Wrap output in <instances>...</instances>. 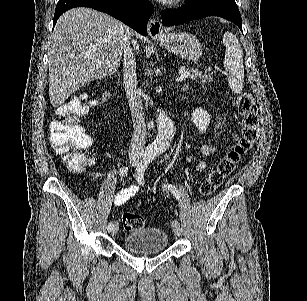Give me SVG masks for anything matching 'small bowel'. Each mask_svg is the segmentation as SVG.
I'll return each mask as SVG.
<instances>
[{
  "instance_id": "obj_1",
  "label": "small bowel",
  "mask_w": 307,
  "mask_h": 301,
  "mask_svg": "<svg viewBox=\"0 0 307 301\" xmlns=\"http://www.w3.org/2000/svg\"><path fill=\"white\" fill-rule=\"evenodd\" d=\"M214 150L213 147L204 146L201 149V152L205 155L211 153ZM204 168V163L198 165V169L201 170ZM139 191V186L137 184H132L129 187L122 189L114 198V204L120 206L129 201L134 197Z\"/></svg>"
}]
</instances>
